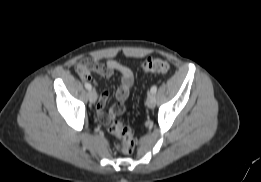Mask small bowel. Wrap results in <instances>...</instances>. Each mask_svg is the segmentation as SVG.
<instances>
[{"label":"small bowel","mask_w":261,"mask_h":182,"mask_svg":"<svg viewBox=\"0 0 261 182\" xmlns=\"http://www.w3.org/2000/svg\"><path fill=\"white\" fill-rule=\"evenodd\" d=\"M80 62L86 64L89 70L88 75H80V77L82 79L92 81L95 85L97 83L91 76L92 72L107 79L111 78L115 73H118L120 75V86L116 91V99L118 103L114 105L108 112H105V105L110 93L108 90H103L96 105L97 119L101 123H108L125 111V103L134 85L133 72L131 71V69L115 60L99 62L93 59H83Z\"/></svg>","instance_id":"1"}]
</instances>
